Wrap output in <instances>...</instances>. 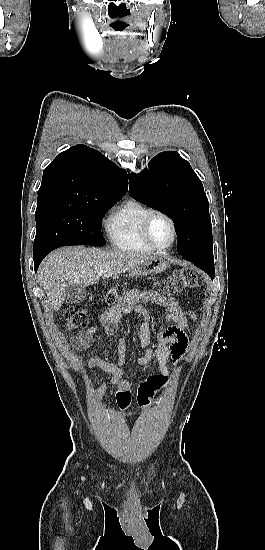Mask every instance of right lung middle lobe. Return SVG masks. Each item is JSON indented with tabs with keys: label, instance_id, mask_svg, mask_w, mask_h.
Instances as JSON below:
<instances>
[{
	"label": "right lung middle lobe",
	"instance_id": "dd1d6c3e",
	"mask_svg": "<svg viewBox=\"0 0 265 550\" xmlns=\"http://www.w3.org/2000/svg\"><path fill=\"white\" fill-rule=\"evenodd\" d=\"M118 200L120 198H38L33 254H48L66 245L103 246L102 218Z\"/></svg>",
	"mask_w": 265,
	"mask_h": 550
}]
</instances>
